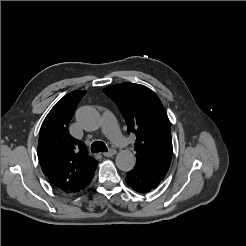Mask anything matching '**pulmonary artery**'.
I'll use <instances>...</instances> for the list:
<instances>
[{"label":"pulmonary artery","mask_w":246,"mask_h":246,"mask_svg":"<svg viewBox=\"0 0 246 246\" xmlns=\"http://www.w3.org/2000/svg\"><path fill=\"white\" fill-rule=\"evenodd\" d=\"M103 132L112 140L114 144L120 147H126L127 139L122 135L117 122L110 112H105L102 118Z\"/></svg>","instance_id":"e3ab8cb5"}]
</instances>
